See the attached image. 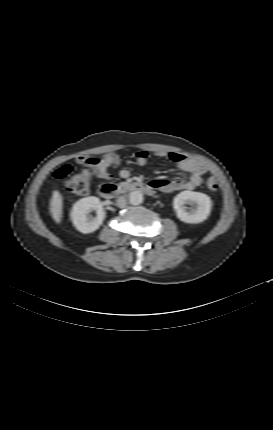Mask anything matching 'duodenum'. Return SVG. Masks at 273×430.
Listing matches in <instances>:
<instances>
[{"instance_id": "410a0bca", "label": "duodenum", "mask_w": 273, "mask_h": 430, "mask_svg": "<svg viewBox=\"0 0 273 430\" xmlns=\"http://www.w3.org/2000/svg\"><path fill=\"white\" fill-rule=\"evenodd\" d=\"M127 188L132 191H139L146 194H153L155 192V187L152 183H132L129 184ZM98 193L105 199H111L119 195L121 193V189L112 183H106L99 187Z\"/></svg>"}]
</instances>
